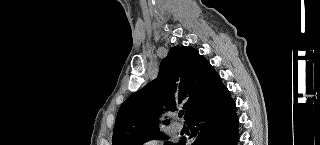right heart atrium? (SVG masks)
Here are the masks:
<instances>
[{
    "mask_svg": "<svg viewBox=\"0 0 320 145\" xmlns=\"http://www.w3.org/2000/svg\"><path fill=\"white\" fill-rule=\"evenodd\" d=\"M158 144H159V140L155 138H149L143 142V145H158Z\"/></svg>",
    "mask_w": 320,
    "mask_h": 145,
    "instance_id": "obj_1",
    "label": "right heart atrium"
}]
</instances>
